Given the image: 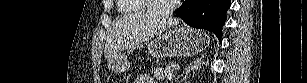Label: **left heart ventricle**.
<instances>
[{
	"label": "left heart ventricle",
	"mask_w": 307,
	"mask_h": 83,
	"mask_svg": "<svg viewBox=\"0 0 307 83\" xmlns=\"http://www.w3.org/2000/svg\"><path fill=\"white\" fill-rule=\"evenodd\" d=\"M172 2V0H159V1H155V4L157 7L162 8L165 7L168 3Z\"/></svg>",
	"instance_id": "b2bd125f"
}]
</instances>
